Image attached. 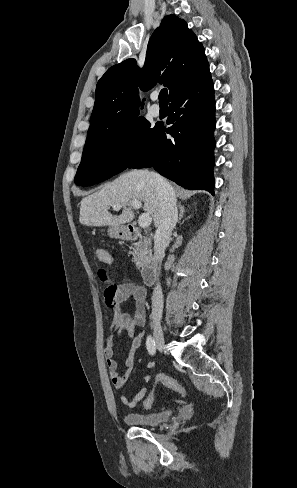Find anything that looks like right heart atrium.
Masks as SVG:
<instances>
[{
  "instance_id": "d8ad5b80",
  "label": "right heart atrium",
  "mask_w": 297,
  "mask_h": 488,
  "mask_svg": "<svg viewBox=\"0 0 297 488\" xmlns=\"http://www.w3.org/2000/svg\"><path fill=\"white\" fill-rule=\"evenodd\" d=\"M136 141V136L133 133H126L120 141V149L125 151L129 149Z\"/></svg>"
}]
</instances>
